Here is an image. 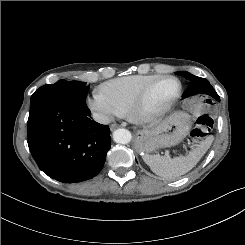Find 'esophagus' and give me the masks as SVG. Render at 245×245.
Segmentation results:
<instances>
[{"label":"esophagus","instance_id":"obj_1","mask_svg":"<svg viewBox=\"0 0 245 245\" xmlns=\"http://www.w3.org/2000/svg\"><path fill=\"white\" fill-rule=\"evenodd\" d=\"M118 127H119L118 124H111L110 125V130L113 131V130L117 129Z\"/></svg>","mask_w":245,"mask_h":245}]
</instances>
